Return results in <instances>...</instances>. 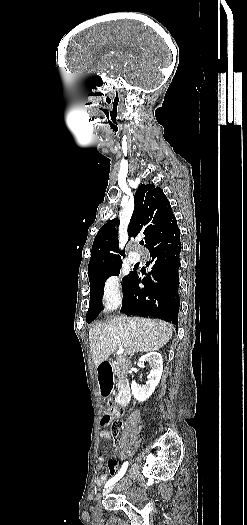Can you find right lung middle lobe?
<instances>
[{
  "label": "right lung middle lobe",
  "instance_id": "right-lung-middle-lobe-1",
  "mask_svg": "<svg viewBox=\"0 0 247 525\" xmlns=\"http://www.w3.org/2000/svg\"><path fill=\"white\" fill-rule=\"evenodd\" d=\"M120 268L89 275L90 304H89V309H88L87 318H86L87 322L93 321L99 315L100 311L103 309L102 297H103L104 282L108 277L112 275H119ZM134 275H135L134 273H130L128 276L123 278V290L124 291Z\"/></svg>",
  "mask_w": 247,
  "mask_h": 525
}]
</instances>
